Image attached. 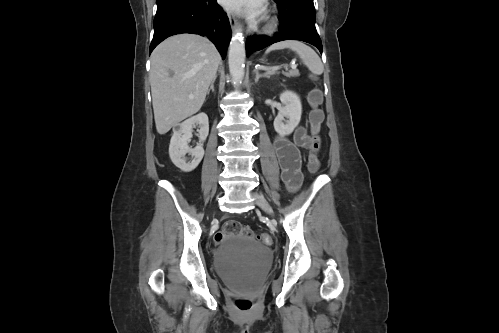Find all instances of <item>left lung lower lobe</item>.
<instances>
[{"label": "left lung lower lobe", "instance_id": "obj_1", "mask_svg": "<svg viewBox=\"0 0 499 333\" xmlns=\"http://www.w3.org/2000/svg\"><path fill=\"white\" fill-rule=\"evenodd\" d=\"M279 8V32L274 38L252 36L246 42V55L283 40H301L316 46L322 42L315 28L313 0H274Z\"/></svg>", "mask_w": 499, "mask_h": 333}]
</instances>
